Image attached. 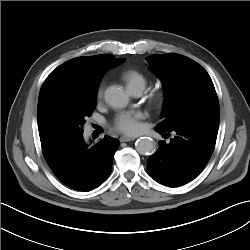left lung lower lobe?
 Listing matches in <instances>:
<instances>
[{
    "label": "left lung lower lobe",
    "mask_w": 250,
    "mask_h": 250,
    "mask_svg": "<svg viewBox=\"0 0 250 250\" xmlns=\"http://www.w3.org/2000/svg\"><path fill=\"white\" fill-rule=\"evenodd\" d=\"M219 122L186 126L174 131L169 143L159 142L157 152L147 160V173L157 182L176 187L197 177L215 147ZM158 133L167 132L156 128Z\"/></svg>",
    "instance_id": "left-lung-lower-lobe-1"
}]
</instances>
